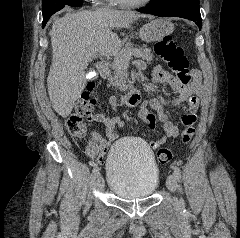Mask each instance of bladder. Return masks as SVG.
Returning <instances> with one entry per match:
<instances>
[{"label":"bladder","mask_w":240,"mask_h":238,"mask_svg":"<svg viewBox=\"0 0 240 238\" xmlns=\"http://www.w3.org/2000/svg\"><path fill=\"white\" fill-rule=\"evenodd\" d=\"M108 186L123 199L151 196L159 183V168L150 148L134 139L112 146L106 162Z\"/></svg>","instance_id":"bladder-1"}]
</instances>
